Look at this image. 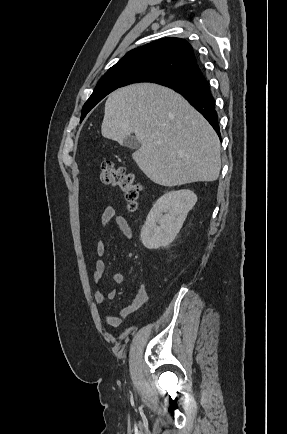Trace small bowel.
<instances>
[{"instance_id": "small-bowel-1", "label": "small bowel", "mask_w": 287, "mask_h": 434, "mask_svg": "<svg viewBox=\"0 0 287 434\" xmlns=\"http://www.w3.org/2000/svg\"><path fill=\"white\" fill-rule=\"evenodd\" d=\"M112 221L115 222L116 226L127 239L132 238V229L126 214L123 212H117V210L113 206H108L99 216L97 223L100 227L107 228ZM95 252L98 256V259L95 262L93 280L98 288L94 292V300L98 305H103L106 302L107 298L114 299L117 295V291L114 288L111 289L106 297L102 290L99 288L103 275L106 271V263L102 258L105 252V243L103 241H100L96 244ZM111 279L113 283L121 284L124 281V273L120 271L114 272L111 276ZM147 300L148 295L145 286L140 285L135 292L131 304L123 307L120 311L119 316L104 312L105 321L111 327L118 328L120 327L123 318H127L133 315L147 303Z\"/></svg>"}]
</instances>
